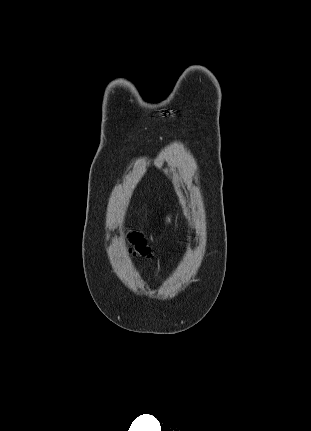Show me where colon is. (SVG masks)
<instances>
[{
	"label": "colon",
	"mask_w": 311,
	"mask_h": 431,
	"mask_svg": "<svg viewBox=\"0 0 311 431\" xmlns=\"http://www.w3.org/2000/svg\"><path fill=\"white\" fill-rule=\"evenodd\" d=\"M130 242L132 244V250L134 254L143 257L150 256V248L148 247L146 241L138 234H132L130 237Z\"/></svg>",
	"instance_id": "colon-1"
}]
</instances>
